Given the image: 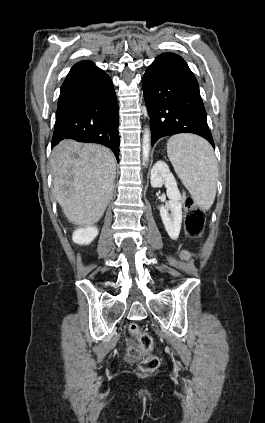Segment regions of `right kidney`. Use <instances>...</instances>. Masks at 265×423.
Instances as JSON below:
<instances>
[{"label": "right kidney", "mask_w": 265, "mask_h": 423, "mask_svg": "<svg viewBox=\"0 0 265 423\" xmlns=\"http://www.w3.org/2000/svg\"><path fill=\"white\" fill-rule=\"evenodd\" d=\"M98 233L99 231L95 226L80 228L73 233L72 240L80 245H88L97 237Z\"/></svg>", "instance_id": "1"}]
</instances>
